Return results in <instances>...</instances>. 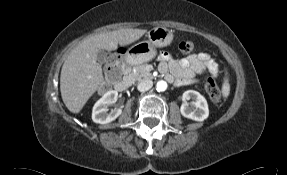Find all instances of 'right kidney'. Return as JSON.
Listing matches in <instances>:
<instances>
[{
  "mask_svg": "<svg viewBox=\"0 0 287 175\" xmlns=\"http://www.w3.org/2000/svg\"><path fill=\"white\" fill-rule=\"evenodd\" d=\"M118 97V92L111 90L106 92L94 105L92 110V120L95 123L107 124L114 121L121 113L122 109L114 108L109 111V106L112 105Z\"/></svg>",
  "mask_w": 287,
  "mask_h": 175,
  "instance_id": "ca27d5eb",
  "label": "right kidney"
}]
</instances>
